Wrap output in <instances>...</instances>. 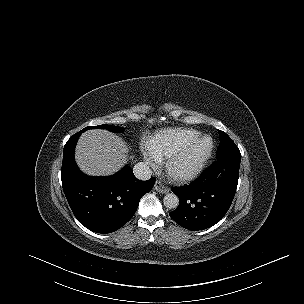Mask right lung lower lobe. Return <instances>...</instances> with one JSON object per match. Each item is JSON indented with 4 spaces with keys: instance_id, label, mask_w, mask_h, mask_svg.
<instances>
[{
    "instance_id": "1",
    "label": "right lung lower lobe",
    "mask_w": 304,
    "mask_h": 304,
    "mask_svg": "<svg viewBox=\"0 0 304 304\" xmlns=\"http://www.w3.org/2000/svg\"><path fill=\"white\" fill-rule=\"evenodd\" d=\"M81 131L69 138L64 147L61 169L62 186L77 220L97 233H111L125 225L135 214L143 195L150 192L155 178L138 180L130 167L109 177L82 173L74 159Z\"/></svg>"
}]
</instances>
